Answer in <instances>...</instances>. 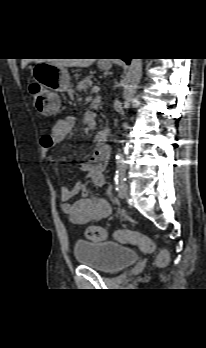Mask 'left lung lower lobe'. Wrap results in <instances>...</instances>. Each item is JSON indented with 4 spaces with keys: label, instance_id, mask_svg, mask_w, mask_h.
I'll return each mask as SVG.
<instances>
[{
    "label": "left lung lower lobe",
    "instance_id": "left-lung-lower-lobe-1",
    "mask_svg": "<svg viewBox=\"0 0 206 348\" xmlns=\"http://www.w3.org/2000/svg\"><path fill=\"white\" fill-rule=\"evenodd\" d=\"M127 64L130 63V59H123Z\"/></svg>",
    "mask_w": 206,
    "mask_h": 348
}]
</instances>
